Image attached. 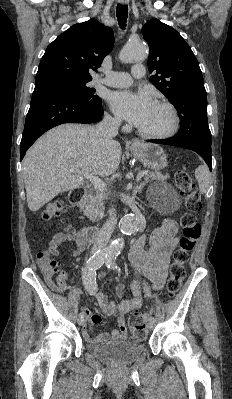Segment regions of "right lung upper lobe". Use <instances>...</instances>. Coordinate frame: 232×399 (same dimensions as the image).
<instances>
[{"mask_svg": "<svg viewBox=\"0 0 232 399\" xmlns=\"http://www.w3.org/2000/svg\"><path fill=\"white\" fill-rule=\"evenodd\" d=\"M113 45L112 29L96 19L75 24L47 47L35 83L55 78L91 80V73L100 66Z\"/></svg>", "mask_w": 232, "mask_h": 399, "instance_id": "right-lung-upper-lobe-1", "label": "right lung upper lobe"}]
</instances>
